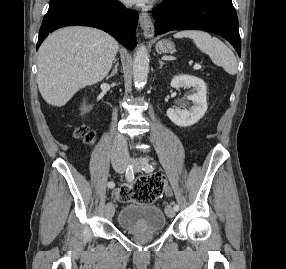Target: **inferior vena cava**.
Listing matches in <instances>:
<instances>
[{"instance_id":"obj_1","label":"inferior vena cava","mask_w":286,"mask_h":269,"mask_svg":"<svg viewBox=\"0 0 286 269\" xmlns=\"http://www.w3.org/2000/svg\"><path fill=\"white\" fill-rule=\"evenodd\" d=\"M129 157L127 139L122 134H117L112 147V158L115 161H126Z\"/></svg>"}]
</instances>
